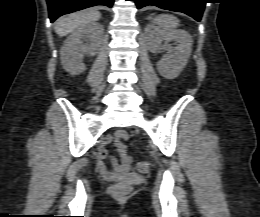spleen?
<instances>
[{
	"label": "spleen",
	"instance_id": "spleen-1",
	"mask_svg": "<svg viewBox=\"0 0 260 217\" xmlns=\"http://www.w3.org/2000/svg\"><path fill=\"white\" fill-rule=\"evenodd\" d=\"M154 23L159 25L163 30H170L179 25V20L172 15L163 14L154 19Z\"/></svg>",
	"mask_w": 260,
	"mask_h": 217
}]
</instances>
